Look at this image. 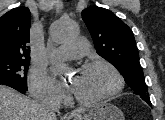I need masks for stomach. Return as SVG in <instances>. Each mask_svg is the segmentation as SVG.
<instances>
[{"instance_id":"0dacf381","label":"stomach","mask_w":165,"mask_h":120,"mask_svg":"<svg viewBox=\"0 0 165 120\" xmlns=\"http://www.w3.org/2000/svg\"><path fill=\"white\" fill-rule=\"evenodd\" d=\"M74 120H125L123 112L110 103H99L84 109Z\"/></svg>"}]
</instances>
